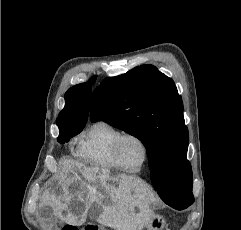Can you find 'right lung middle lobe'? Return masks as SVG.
<instances>
[{
    "label": "right lung middle lobe",
    "mask_w": 241,
    "mask_h": 230,
    "mask_svg": "<svg viewBox=\"0 0 241 230\" xmlns=\"http://www.w3.org/2000/svg\"><path fill=\"white\" fill-rule=\"evenodd\" d=\"M83 127L77 126H63L59 127L60 134L58 137V142L63 144L64 142H68L70 138L79 134L82 131Z\"/></svg>",
    "instance_id": "1"
}]
</instances>
